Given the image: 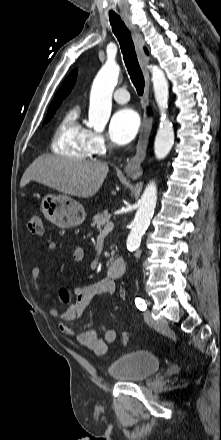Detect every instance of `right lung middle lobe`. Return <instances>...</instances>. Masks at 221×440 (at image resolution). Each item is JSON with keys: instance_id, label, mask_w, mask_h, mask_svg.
<instances>
[{"instance_id": "right-lung-middle-lobe-1", "label": "right lung middle lobe", "mask_w": 221, "mask_h": 440, "mask_svg": "<svg viewBox=\"0 0 221 440\" xmlns=\"http://www.w3.org/2000/svg\"><path fill=\"white\" fill-rule=\"evenodd\" d=\"M58 107H59V106H56L55 108H53V109H51L50 111H48L47 116H46V119H45V121H44V124L47 123V122L53 117V115H54V113L56 112V110H57Z\"/></svg>"}]
</instances>
